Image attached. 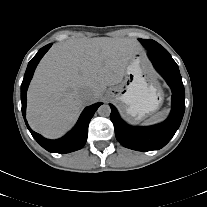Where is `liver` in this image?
Wrapping results in <instances>:
<instances>
[{
    "label": "liver",
    "instance_id": "liver-1",
    "mask_svg": "<svg viewBox=\"0 0 207 207\" xmlns=\"http://www.w3.org/2000/svg\"><path fill=\"white\" fill-rule=\"evenodd\" d=\"M139 44L130 38H81L55 44L39 63L27 93L30 127L47 138L62 136L83 104L122 82ZM90 97L83 99V90Z\"/></svg>",
    "mask_w": 207,
    "mask_h": 207
}]
</instances>
